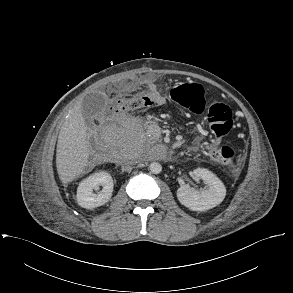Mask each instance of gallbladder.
Here are the masks:
<instances>
[{
	"label": "gallbladder",
	"mask_w": 293,
	"mask_h": 293,
	"mask_svg": "<svg viewBox=\"0 0 293 293\" xmlns=\"http://www.w3.org/2000/svg\"><path fill=\"white\" fill-rule=\"evenodd\" d=\"M105 104V96L98 93H89L82 101V114L86 119L96 117L103 111Z\"/></svg>",
	"instance_id": "gallbladder-1"
}]
</instances>
